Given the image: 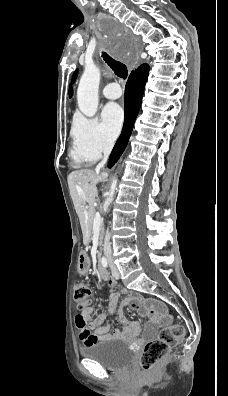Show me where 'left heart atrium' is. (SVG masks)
<instances>
[{"label": "left heart atrium", "mask_w": 228, "mask_h": 396, "mask_svg": "<svg viewBox=\"0 0 228 396\" xmlns=\"http://www.w3.org/2000/svg\"><path fill=\"white\" fill-rule=\"evenodd\" d=\"M101 119L108 138L115 139L121 130L124 120L122 108L115 103L106 105L102 111Z\"/></svg>", "instance_id": "obj_1"}]
</instances>
